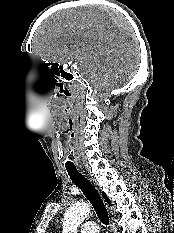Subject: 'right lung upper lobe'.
<instances>
[{
  "label": "right lung upper lobe",
  "instance_id": "obj_1",
  "mask_svg": "<svg viewBox=\"0 0 174 233\" xmlns=\"http://www.w3.org/2000/svg\"><path fill=\"white\" fill-rule=\"evenodd\" d=\"M103 197L105 199V201L108 203V204H111L109 198L107 197V195L105 193H103Z\"/></svg>",
  "mask_w": 174,
  "mask_h": 233
}]
</instances>
